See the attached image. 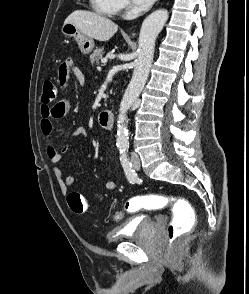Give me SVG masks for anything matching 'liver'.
I'll list each match as a JSON object with an SVG mask.
<instances>
[{
	"label": "liver",
	"instance_id": "obj_1",
	"mask_svg": "<svg viewBox=\"0 0 249 294\" xmlns=\"http://www.w3.org/2000/svg\"><path fill=\"white\" fill-rule=\"evenodd\" d=\"M74 24L83 34L98 41H108L118 30L110 19L91 11L76 10L65 20Z\"/></svg>",
	"mask_w": 249,
	"mask_h": 294
}]
</instances>
